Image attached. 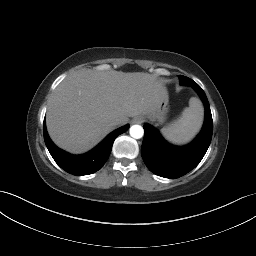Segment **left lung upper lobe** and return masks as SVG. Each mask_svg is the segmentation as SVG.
Wrapping results in <instances>:
<instances>
[{
    "mask_svg": "<svg viewBox=\"0 0 256 256\" xmlns=\"http://www.w3.org/2000/svg\"><path fill=\"white\" fill-rule=\"evenodd\" d=\"M179 79H180V84L186 85V80H188L187 77L180 75Z\"/></svg>",
    "mask_w": 256,
    "mask_h": 256,
    "instance_id": "5c2ea615",
    "label": "left lung upper lobe"
}]
</instances>
